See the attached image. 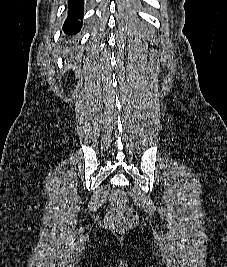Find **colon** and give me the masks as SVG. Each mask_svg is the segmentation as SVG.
Listing matches in <instances>:
<instances>
[{"label": "colon", "mask_w": 227, "mask_h": 267, "mask_svg": "<svg viewBox=\"0 0 227 267\" xmlns=\"http://www.w3.org/2000/svg\"><path fill=\"white\" fill-rule=\"evenodd\" d=\"M105 223L107 228L115 234H123L138 223L137 212L127 205V197L121 190L111 195L110 211Z\"/></svg>", "instance_id": "1"}]
</instances>
